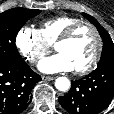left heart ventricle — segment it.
<instances>
[{
	"instance_id": "1",
	"label": "left heart ventricle",
	"mask_w": 114,
	"mask_h": 114,
	"mask_svg": "<svg viewBox=\"0 0 114 114\" xmlns=\"http://www.w3.org/2000/svg\"><path fill=\"white\" fill-rule=\"evenodd\" d=\"M96 49V38L88 27L79 28L74 36L56 46L58 53L64 54L73 64L74 69L87 65Z\"/></svg>"
}]
</instances>
